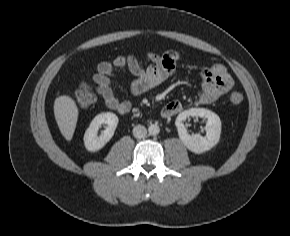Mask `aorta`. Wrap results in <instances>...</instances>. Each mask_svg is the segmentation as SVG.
<instances>
[{
    "label": "aorta",
    "instance_id": "762f6f07",
    "mask_svg": "<svg viewBox=\"0 0 290 236\" xmlns=\"http://www.w3.org/2000/svg\"><path fill=\"white\" fill-rule=\"evenodd\" d=\"M148 132H149L150 135H157L160 132V128H159V126L157 124H151L148 127Z\"/></svg>",
    "mask_w": 290,
    "mask_h": 236
}]
</instances>
